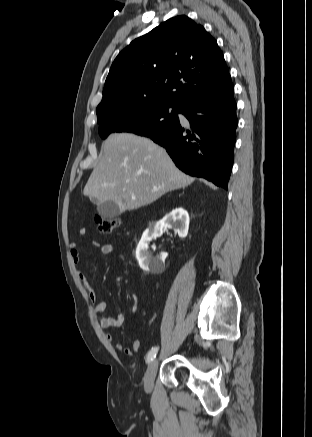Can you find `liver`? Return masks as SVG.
I'll use <instances>...</instances> for the list:
<instances>
[{"label":"liver","instance_id":"6515ba94","mask_svg":"<svg viewBox=\"0 0 312 437\" xmlns=\"http://www.w3.org/2000/svg\"><path fill=\"white\" fill-rule=\"evenodd\" d=\"M102 150L83 191L98 204L111 200L122 211L134 210L194 181L149 138L113 133L104 141Z\"/></svg>","mask_w":312,"mask_h":437}]
</instances>
